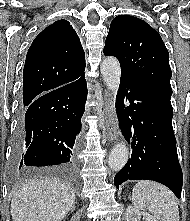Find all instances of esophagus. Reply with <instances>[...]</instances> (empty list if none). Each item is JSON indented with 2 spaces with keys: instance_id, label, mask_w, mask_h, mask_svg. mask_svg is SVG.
Instances as JSON below:
<instances>
[{
  "instance_id": "1",
  "label": "esophagus",
  "mask_w": 190,
  "mask_h": 221,
  "mask_svg": "<svg viewBox=\"0 0 190 221\" xmlns=\"http://www.w3.org/2000/svg\"><path fill=\"white\" fill-rule=\"evenodd\" d=\"M103 118L108 139L115 141L118 137L117 120L115 118L112 95L108 90L104 93Z\"/></svg>"
}]
</instances>
